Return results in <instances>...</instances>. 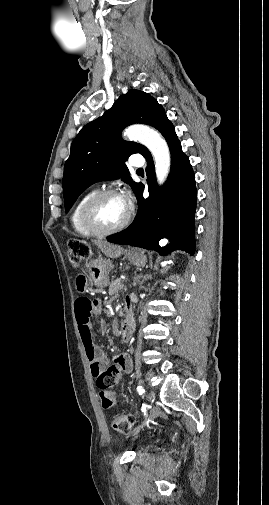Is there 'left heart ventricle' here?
<instances>
[{"label": "left heart ventricle", "mask_w": 269, "mask_h": 505, "mask_svg": "<svg viewBox=\"0 0 269 505\" xmlns=\"http://www.w3.org/2000/svg\"><path fill=\"white\" fill-rule=\"evenodd\" d=\"M128 209L119 195H112L102 199L94 208L93 217L96 222L111 228L120 224L127 215Z\"/></svg>", "instance_id": "obj_1"}]
</instances>
